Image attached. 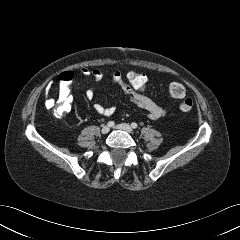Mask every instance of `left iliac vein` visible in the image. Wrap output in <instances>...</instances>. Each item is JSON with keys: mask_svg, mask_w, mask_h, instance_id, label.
<instances>
[{"mask_svg": "<svg viewBox=\"0 0 240 240\" xmlns=\"http://www.w3.org/2000/svg\"><path fill=\"white\" fill-rule=\"evenodd\" d=\"M116 128L120 129V130H123V131H126L128 133H133V129L131 128V126L128 125V124H125V123L117 125Z\"/></svg>", "mask_w": 240, "mask_h": 240, "instance_id": "left-iliac-vein-1", "label": "left iliac vein"}]
</instances>
